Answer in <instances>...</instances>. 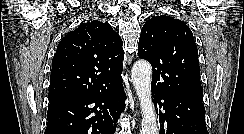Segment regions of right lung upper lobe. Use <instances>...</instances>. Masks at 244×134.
<instances>
[{
	"instance_id": "right-lung-upper-lobe-1",
	"label": "right lung upper lobe",
	"mask_w": 244,
	"mask_h": 134,
	"mask_svg": "<svg viewBox=\"0 0 244 134\" xmlns=\"http://www.w3.org/2000/svg\"><path fill=\"white\" fill-rule=\"evenodd\" d=\"M124 51L108 23H82L60 41L52 60L49 102L102 90L121 77Z\"/></svg>"
}]
</instances>
